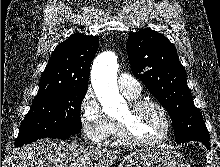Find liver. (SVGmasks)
Returning <instances> with one entry per match:
<instances>
[{"label":"liver","instance_id":"1","mask_svg":"<svg viewBox=\"0 0 220 167\" xmlns=\"http://www.w3.org/2000/svg\"><path fill=\"white\" fill-rule=\"evenodd\" d=\"M15 167H111L120 150L40 139L17 148Z\"/></svg>","mask_w":220,"mask_h":167}]
</instances>
